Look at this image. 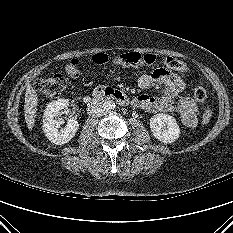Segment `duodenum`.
I'll return each mask as SVG.
<instances>
[{
	"instance_id": "1",
	"label": "duodenum",
	"mask_w": 233,
	"mask_h": 233,
	"mask_svg": "<svg viewBox=\"0 0 233 233\" xmlns=\"http://www.w3.org/2000/svg\"><path fill=\"white\" fill-rule=\"evenodd\" d=\"M101 100H114L121 105H128L130 102L124 92L113 87L98 86L93 90L88 102L94 103Z\"/></svg>"
}]
</instances>
